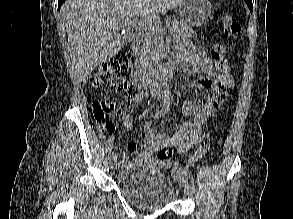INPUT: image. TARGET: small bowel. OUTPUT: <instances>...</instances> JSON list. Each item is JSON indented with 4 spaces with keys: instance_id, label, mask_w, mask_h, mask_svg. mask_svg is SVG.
Wrapping results in <instances>:
<instances>
[{
    "instance_id": "small-bowel-1",
    "label": "small bowel",
    "mask_w": 293,
    "mask_h": 219,
    "mask_svg": "<svg viewBox=\"0 0 293 219\" xmlns=\"http://www.w3.org/2000/svg\"><path fill=\"white\" fill-rule=\"evenodd\" d=\"M177 59L187 62L195 73L204 75V77L193 80L189 84L193 87L210 89L213 95L211 98L199 102L186 100L183 104L182 113L189 119L185 120L174 134L158 130L150 121L144 122V130L139 135V139L143 142L144 151H138L134 141L127 144V150L136 155L135 162L152 160L154 153L163 147H172L179 153L185 154L200 138L209 118L226 100L227 90L234 86L233 77L230 74H222L217 71L205 51L194 43L181 41L178 44ZM146 98L147 93L141 92L132 99V102L137 105L145 101ZM122 123L125 128L131 129L133 118L127 115L123 118ZM101 137H103L102 134ZM128 164L130 162L127 153H124L120 165L126 166Z\"/></svg>"
}]
</instances>
